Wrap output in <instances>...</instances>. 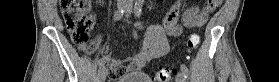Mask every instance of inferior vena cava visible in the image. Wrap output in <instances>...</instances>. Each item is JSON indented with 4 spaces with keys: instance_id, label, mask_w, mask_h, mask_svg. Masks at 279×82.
Masks as SVG:
<instances>
[{
    "instance_id": "obj_1",
    "label": "inferior vena cava",
    "mask_w": 279,
    "mask_h": 82,
    "mask_svg": "<svg viewBox=\"0 0 279 82\" xmlns=\"http://www.w3.org/2000/svg\"><path fill=\"white\" fill-rule=\"evenodd\" d=\"M126 5L128 4L130 6L131 0H125Z\"/></svg>"
}]
</instances>
